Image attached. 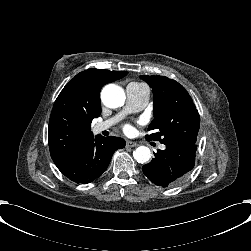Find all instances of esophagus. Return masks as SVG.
<instances>
[{
    "mask_svg": "<svg viewBox=\"0 0 251 251\" xmlns=\"http://www.w3.org/2000/svg\"><path fill=\"white\" fill-rule=\"evenodd\" d=\"M126 146H127V147H135V146H137V143H136V142H133V141H131V140H127V141H126Z\"/></svg>",
    "mask_w": 251,
    "mask_h": 251,
    "instance_id": "obj_1",
    "label": "esophagus"
}]
</instances>
